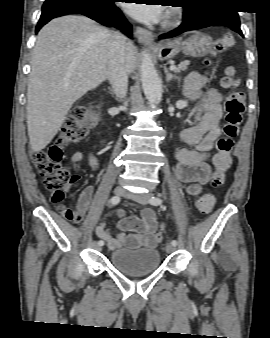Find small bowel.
Returning <instances> with one entry per match:
<instances>
[{"label": "small bowel", "instance_id": "1", "mask_svg": "<svg viewBox=\"0 0 270 338\" xmlns=\"http://www.w3.org/2000/svg\"><path fill=\"white\" fill-rule=\"evenodd\" d=\"M207 87L206 77L191 73L188 75L184 93L191 99H201L202 106L197 122L185 128L180 134V140L189 145L195 146V149L180 148L177 152L178 165L176 174L179 179L188 184L186 191L190 195H198L202 191V184L208 181L210 175V165L208 164V152L213 148L215 140L220 136V119L223 115L222 97L214 89L209 88L204 94L201 90ZM102 142H100L101 144ZM71 161L74 166L82 161V156L78 152L71 154ZM89 162L93 169L99 166L98 157L90 153ZM93 187L86 186L78 194V207L76 211V221L81 222L92 216V196ZM134 222L140 224L137 229H131L128 235L123 231V226L112 235L102 220L95 227L97 235L107 241L111 247L126 246L130 249L135 248L141 243L149 248L156 246L161 240V233L157 231L158 224L155 213L152 209L143 210L142 217H132ZM164 227H161V231Z\"/></svg>", "mask_w": 270, "mask_h": 338}]
</instances>
